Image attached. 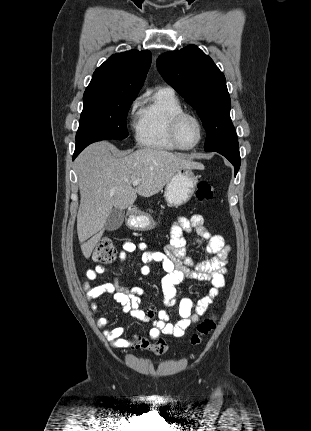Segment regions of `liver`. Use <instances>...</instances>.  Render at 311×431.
Returning a JSON list of instances; mask_svg holds the SVG:
<instances>
[{"mask_svg":"<svg viewBox=\"0 0 311 431\" xmlns=\"http://www.w3.org/2000/svg\"><path fill=\"white\" fill-rule=\"evenodd\" d=\"M80 206L77 233L84 257H90L100 241L113 208L127 210L138 196L151 198L169 184L183 168L204 170L185 154H171L158 148L120 152L109 142H96L85 148L75 160ZM134 180H142L133 188Z\"/></svg>","mask_w":311,"mask_h":431,"instance_id":"1","label":"liver"}]
</instances>
